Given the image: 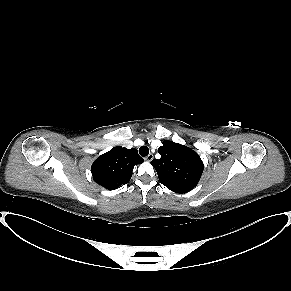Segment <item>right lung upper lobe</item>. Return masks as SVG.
I'll return each mask as SVG.
<instances>
[{"instance_id": "cb5924a9", "label": "right lung upper lobe", "mask_w": 291, "mask_h": 291, "mask_svg": "<svg viewBox=\"0 0 291 291\" xmlns=\"http://www.w3.org/2000/svg\"><path fill=\"white\" fill-rule=\"evenodd\" d=\"M143 162L144 159L138 155L135 148L117 146L94 161L91 173L96 183L113 190L128 183L134 166Z\"/></svg>"}]
</instances>
